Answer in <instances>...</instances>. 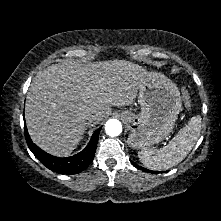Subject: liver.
<instances>
[{
  "instance_id": "obj_1",
  "label": "liver",
  "mask_w": 221,
  "mask_h": 221,
  "mask_svg": "<svg viewBox=\"0 0 221 221\" xmlns=\"http://www.w3.org/2000/svg\"><path fill=\"white\" fill-rule=\"evenodd\" d=\"M146 76L142 66L126 60L48 66L35 76L26 97L32 141L52 155L68 156L90 127L87 116L95 115L99 124L112 107L133 104Z\"/></svg>"
}]
</instances>
